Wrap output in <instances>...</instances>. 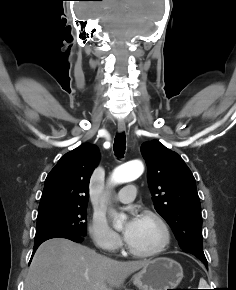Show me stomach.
Wrapping results in <instances>:
<instances>
[{"label":"stomach","instance_id":"0dacf381","mask_svg":"<svg viewBox=\"0 0 236 290\" xmlns=\"http://www.w3.org/2000/svg\"><path fill=\"white\" fill-rule=\"evenodd\" d=\"M183 278L182 266L175 260L161 257L150 260L132 277L139 290L176 289Z\"/></svg>","mask_w":236,"mask_h":290}]
</instances>
